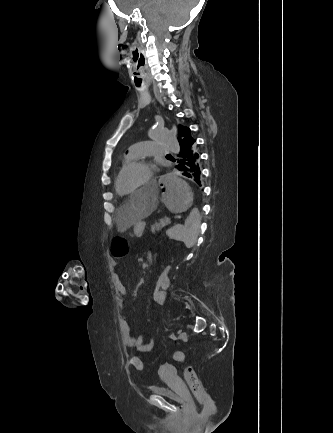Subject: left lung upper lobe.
<instances>
[{
  "instance_id": "left-lung-upper-lobe-1",
  "label": "left lung upper lobe",
  "mask_w": 333,
  "mask_h": 433,
  "mask_svg": "<svg viewBox=\"0 0 333 433\" xmlns=\"http://www.w3.org/2000/svg\"><path fill=\"white\" fill-rule=\"evenodd\" d=\"M184 140H192L195 141V139L190 134V129L188 127L179 125V131H178V141L179 143Z\"/></svg>"
}]
</instances>
